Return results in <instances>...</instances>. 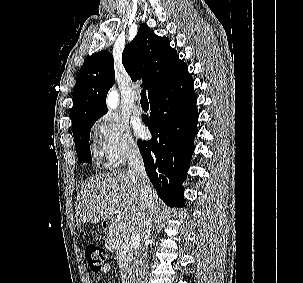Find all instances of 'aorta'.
Returning a JSON list of instances; mask_svg holds the SVG:
<instances>
[{
    "label": "aorta",
    "instance_id": "762f6f07",
    "mask_svg": "<svg viewBox=\"0 0 303 283\" xmlns=\"http://www.w3.org/2000/svg\"><path fill=\"white\" fill-rule=\"evenodd\" d=\"M118 103V94L116 91L112 90L107 99V104L110 109H115Z\"/></svg>",
    "mask_w": 303,
    "mask_h": 283
}]
</instances>
